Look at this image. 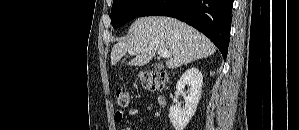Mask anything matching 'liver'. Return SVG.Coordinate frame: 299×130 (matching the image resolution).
Segmentation results:
<instances>
[{"mask_svg": "<svg viewBox=\"0 0 299 130\" xmlns=\"http://www.w3.org/2000/svg\"><path fill=\"white\" fill-rule=\"evenodd\" d=\"M160 49H167L172 54L166 62L169 69L216 52V47L206 36L186 23L170 17L148 16L137 19L129 29V36L113 46L111 65H116L128 53L135 56L128 65L143 66Z\"/></svg>", "mask_w": 299, "mask_h": 130, "instance_id": "liver-1", "label": "liver"}]
</instances>
